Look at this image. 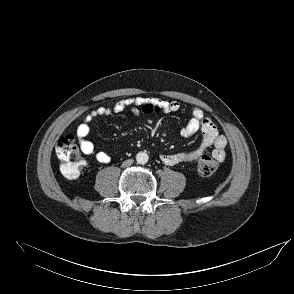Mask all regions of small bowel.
<instances>
[{
    "instance_id": "obj_1",
    "label": "small bowel",
    "mask_w": 294,
    "mask_h": 294,
    "mask_svg": "<svg viewBox=\"0 0 294 294\" xmlns=\"http://www.w3.org/2000/svg\"><path fill=\"white\" fill-rule=\"evenodd\" d=\"M152 104L161 112H176L181 108L178 101H166L156 98H127L120 100L110 106L98 107L85 115L82 122L78 125L76 136L78 138L80 149L86 155L94 156L100 163H109L111 158L105 151H96L94 144L87 139L90 132V124L98 117H109L121 113L127 108L136 109L142 104ZM201 131L203 139L201 144L194 150L186 152H177L172 154H163L160 156L161 161L169 166L195 163L204 157L205 151L212 147V157L217 161H223L226 158L225 147L227 139L224 135L219 134L213 121L204 115L202 109L194 107L191 111V117L187 125L181 130V136L189 138Z\"/></svg>"
}]
</instances>
